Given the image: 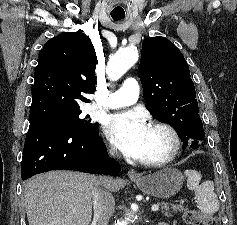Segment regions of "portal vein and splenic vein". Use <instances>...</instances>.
Wrapping results in <instances>:
<instances>
[{"label": "portal vein and splenic vein", "instance_id": "1", "mask_svg": "<svg viewBox=\"0 0 237 225\" xmlns=\"http://www.w3.org/2000/svg\"><path fill=\"white\" fill-rule=\"evenodd\" d=\"M151 209H152V211H158L159 210V205H153L152 207H151Z\"/></svg>", "mask_w": 237, "mask_h": 225}]
</instances>
